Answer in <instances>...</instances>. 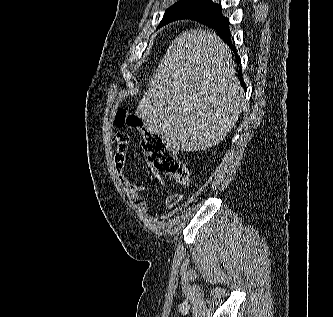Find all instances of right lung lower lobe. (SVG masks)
<instances>
[{
    "label": "right lung lower lobe",
    "mask_w": 333,
    "mask_h": 317,
    "mask_svg": "<svg viewBox=\"0 0 333 317\" xmlns=\"http://www.w3.org/2000/svg\"><path fill=\"white\" fill-rule=\"evenodd\" d=\"M188 19L195 20L208 27L213 28L217 32V34L223 39V41L226 42L230 46V48L236 52V48L231 42L229 19L222 15L221 9L211 12L209 14H201Z\"/></svg>",
    "instance_id": "98d812e1"
}]
</instances>
